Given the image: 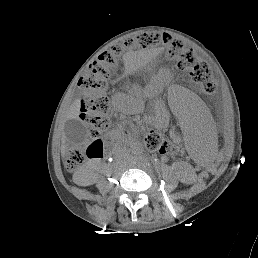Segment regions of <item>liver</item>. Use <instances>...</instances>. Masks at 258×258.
Instances as JSON below:
<instances>
[{
	"label": "liver",
	"instance_id": "obj_1",
	"mask_svg": "<svg viewBox=\"0 0 258 258\" xmlns=\"http://www.w3.org/2000/svg\"><path fill=\"white\" fill-rule=\"evenodd\" d=\"M127 70H130L128 67H127ZM79 114H80V101L78 100L72 107V111H71V114H70V118L71 119H78L79 118ZM68 148V145H64L63 146V152H66Z\"/></svg>",
	"mask_w": 258,
	"mask_h": 258
}]
</instances>
